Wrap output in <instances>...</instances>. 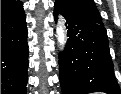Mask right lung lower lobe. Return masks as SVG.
Here are the masks:
<instances>
[{
    "label": "right lung lower lobe",
    "mask_w": 121,
    "mask_h": 94,
    "mask_svg": "<svg viewBox=\"0 0 121 94\" xmlns=\"http://www.w3.org/2000/svg\"><path fill=\"white\" fill-rule=\"evenodd\" d=\"M27 28L21 1L1 9V94H26Z\"/></svg>",
    "instance_id": "right-lung-lower-lobe-1"
}]
</instances>
